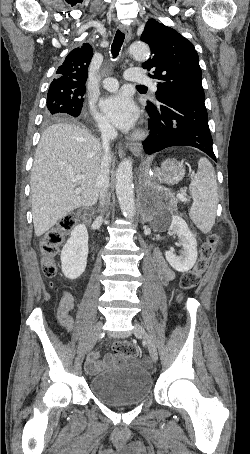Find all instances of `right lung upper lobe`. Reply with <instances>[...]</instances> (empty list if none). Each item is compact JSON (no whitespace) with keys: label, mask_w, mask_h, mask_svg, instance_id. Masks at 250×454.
Returning <instances> with one entry per match:
<instances>
[{"label":"right lung upper lobe","mask_w":250,"mask_h":454,"mask_svg":"<svg viewBox=\"0 0 250 454\" xmlns=\"http://www.w3.org/2000/svg\"><path fill=\"white\" fill-rule=\"evenodd\" d=\"M92 56L93 50L88 43L73 49L66 56L63 64L58 67L57 78L52 81L49 89H57L62 92H74L85 89L88 67Z\"/></svg>","instance_id":"1"}]
</instances>
